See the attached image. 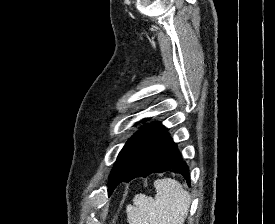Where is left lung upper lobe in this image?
I'll use <instances>...</instances> for the list:
<instances>
[{
  "mask_svg": "<svg viewBox=\"0 0 275 224\" xmlns=\"http://www.w3.org/2000/svg\"><path fill=\"white\" fill-rule=\"evenodd\" d=\"M159 125L160 123L156 122L145 126L128 140L118 155L117 161L111 172L110 179L113 178L114 180H117L128 171L129 167L131 166L132 162L136 158L145 142L159 127Z\"/></svg>",
  "mask_w": 275,
  "mask_h": 224,
  "instance_id": "1",
  "label": "left lung upper lobe"
}]
</instances>
